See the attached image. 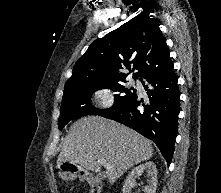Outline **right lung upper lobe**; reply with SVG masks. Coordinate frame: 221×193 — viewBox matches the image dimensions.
<instances>
[{"label":"right lung upper lobe","instance_id":"right-lung-upper-lobe-1","mask_svg":"<svg viewBox=\"0 0 221 193\" xmlns=\"http://www.w3.org/2000/svg\"><path fill=\"white\" fill-rule=\"evenodd\" d=\"M132 66V67H131ZM146 78L173 68L161 30L156 19L136 16L103 38L96 39L76 62L65 89Z\"/></svg>","mask_w":221,"mask_h":193}]
</instances>
